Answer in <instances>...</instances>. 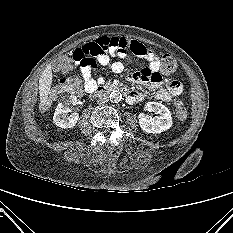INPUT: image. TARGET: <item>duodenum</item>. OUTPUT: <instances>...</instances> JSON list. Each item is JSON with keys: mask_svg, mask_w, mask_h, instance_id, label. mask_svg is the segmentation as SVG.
<instances>
[{"mask_svg": "<svg viewBox=\"0 0 233 233\" xmlns=\"http://www.w3.org/2000/svg\"><path fill=\"white\" fill-rule=\"evenodd\" d=\"M114 91L121 92L127 98L131 96V92H129L123 86H120L117 84H100L91 92V94L93 96H100V95L111 93Z\"/></svg>", "mask_w": 233, "mask_h": 233, "instance_id": "410a0bca", "label": "duodenum"}]
</instances>
